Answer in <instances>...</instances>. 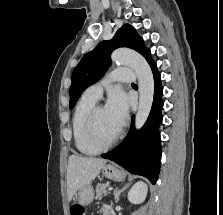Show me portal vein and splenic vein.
I'll list each match as a JSON object with an SVG mask.
<instances>
[{
	"label": "portal vein and splenic vein",
	"mask_w": 223,
	"mask_h": 215,
	"mask_svg": "<svg viewBox=\"0 0 223 215\" xmlns=\"http://www.w3.org/2000/svg\"><path fill=\"white\" fill-rule=\"evenodd\" d=\"M107 188H108V190H109L110 192H111V191H114V187H113V186H110V185H109Z\"/></svg>",
	"instance_id": "obj_1"
}]
</instances>
